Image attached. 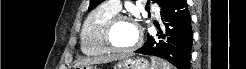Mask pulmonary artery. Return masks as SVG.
Wrapping results in <instances>:
<instances>
[{"instance_id":"obj_1","label":"pulmonary artery","mask_w":246,"mask_h":69,"mask_svg":"<svg viewBox=\"0 0 246 69\" xmlns=\"http://www.w3.org/2000/svg\"><path fill=\"white\" fill-rule=\"evenodd\" d=\"M107 4L117 12L121 9L120 1H108Z\"/></svg>"}]
</instances>
